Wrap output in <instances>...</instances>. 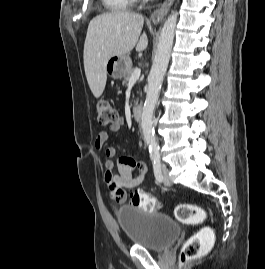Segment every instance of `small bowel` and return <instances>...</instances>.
I'll use <instances>...</instances> for the list:
<instances>
[{
  "mask_svg": "<svg viewBox=\"0 0 265 269\" xmlns=\"http://www.w3.org/2000/svg\"><path fill=\"white\" fill-rule=\"evenodd\" d=\"M124 125L122 118L110 126V131L113 133L119 132ZM108 140V132L101 131L96 140L95 146L97 149L104 151L106 155L105 166V181L111 198L116 204H123L126 201L128 191L139 186L147 172V166L144 161L137 160L128 155H118L114 147L106 146ZM117 158L115 162L114 159ZM117 168L118 173L114 174V168ZM137 174L134 175L133 172Z\"/></svg>",
  "mask_w": 265,
  "mask_h": 269,
  "instance_id": "c3829d8e",
  "label": "small bowel"
}]
</instances>
